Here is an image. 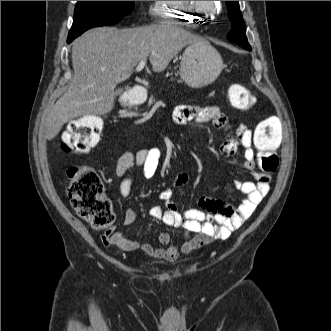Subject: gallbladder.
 Segmentation results:
<instances>
[{
    "instance_id": "1",
    "label": "gallbladder",
    "mask_w": 331,
    "mask_h": 331,
    "mask_svg": "<svg viewBox=\"0 0 331 331\" xmlns=\"http://www.w3.org/2000/svg\"><path fill=\"white\" fill-rule=\"evenodd\" d=\"M116 93L117 94H121L122 93V90H118Z\"/></svg>"
}]
</instances>
